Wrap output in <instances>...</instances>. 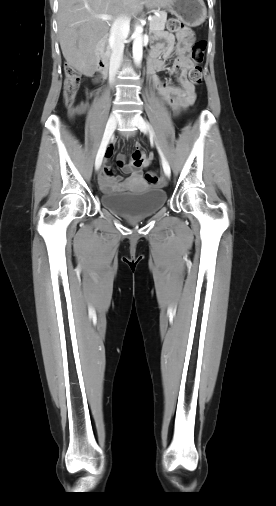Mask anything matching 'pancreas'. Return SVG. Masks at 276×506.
I'll return each instance as SVG.
<instances>
[{
  "mask_svg": "<svg viewBox=\"0 0 276 506\" xmlns=\"http://www.w3.org/2000/svg\"><path fill=\"white\" fill-rule=\"evenodd\" d=\"M167 19V14L163 11L160 12L159 16H153L152 21H150V32L163 31L165 28Z\"/></svg>",
  "mask_w": 276,
  "mask_h": 506,
  "instance_id": "1",
  "label": "pancreas"
}]
</instances>
